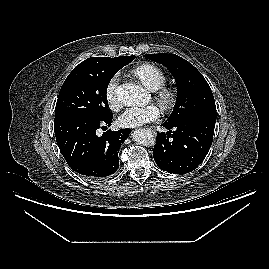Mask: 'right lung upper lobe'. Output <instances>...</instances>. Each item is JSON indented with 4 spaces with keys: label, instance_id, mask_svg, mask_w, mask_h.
<instances>
[{
    "label": "right lung upper lobe",
    "instance_id": "1",
    "mask_svg": "<svg viewBox=\"0 0 269 269\" xmlns=\"http://www.w3.org/2000/svg\"><path fill=\"white\" fill-rule=\"evenodd\" d=\"M132 56H122V57H91L83 61L81 64H95V63H104V64H119L128 61Z\"/></svg>",
    "mask_w": 269,
    "mask_h": 269
}]
</instances>
